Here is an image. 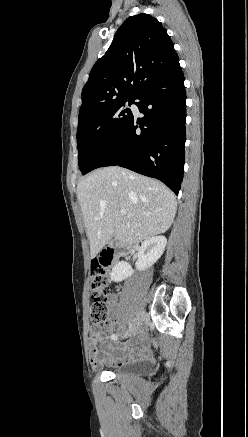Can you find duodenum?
Wrapping results in <instances>:
<instances>
[{
    "label": "duodenum",
    "instance_id": "1",
    "mask_svg": "<svg viewBox=\"0 0 248 437\" xmlns=\"http://www.w3.org/2000/svg\"><path fill=\"white\" fill-rule=\"evenodd\" d=\"M122 253L119 248H101L99 250V255L101 257H106V259L112 264L115 262L117 257Z\"/></svg>",
    "mask_w": 248,
    "mask_h": 437
}]
</instances>
